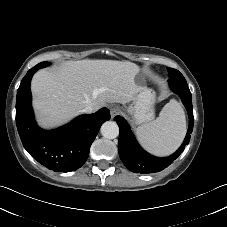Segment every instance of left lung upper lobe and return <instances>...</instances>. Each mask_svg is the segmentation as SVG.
<instances>
[{
  "label": "left lung upper lobe",
  "mask_w": 227,
  "mask_h": 227,
  "mask_svg": "<svg viewBox=\"0 0 227 227\" xmlns=\"http://www.w3.org/2000/svg\"><path fill=\"white\" fill-rule=\"evenodd\" d=\"M167 70H168L170 79H176V80L185 79L178 70L173 69V68H167Z\"/></svg>",
  "instance_id": "5c2ea615"
}]
</instances>
